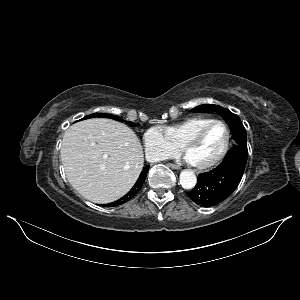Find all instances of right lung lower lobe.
<instances>
[{
  "mask_svg": "<svg viewBox=\"0 0 300 300\" xmlns=\"http://www.w3.org/2000/svg\"><path fill=\"white\" fill-rule=\"evenodd\" d=\"M148 169H149V166L144 167V169L141 172V174H140L137 182L135 183V185L133 186V188L124 197H122L121 199H119V200H117V201H115L113 203L106 204L104 206H106V207L117 206V205H120V204H123V203L127 202L132 197H134L138 193V191L141 189L142 184H143V182L146 179Z\"/></svg>",
  "mask_w": 300,
  "mask_h": 300,
  "instance_id": "98d812e1",
  "label": "right lung lower lobe"
}]
</instances>
